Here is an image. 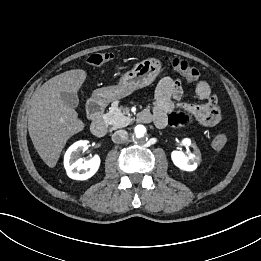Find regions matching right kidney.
Masks as SVG:
<instances>
[{
    "label": "right kidney",
    "mask_w": 261,
    "mask_h": 261,
    "mask_svg": "<svg viewBox=\"0 0 261 261\" xmlns=\"http://www.w3.org/2000/svg\"><path fill=\"white\" fill-rule=\"evenodd\" d=\"M88 147V141L80 140L71 145L64 155V167L67 175L75 180H87L99 169L100 157L95 155L88 160L78 159L82 149Z\"/></svg>",
    "instance_id": "ca27d5eb"
}]
</instances>
